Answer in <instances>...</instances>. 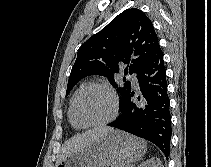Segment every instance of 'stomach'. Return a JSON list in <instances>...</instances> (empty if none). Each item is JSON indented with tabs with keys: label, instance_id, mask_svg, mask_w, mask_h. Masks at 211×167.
<instances>
[{
	"label": "stomach",
	"instance_id": "1",
	"mask_svg": "<svg viewBox=\"0 0 211 167\" xmlns=\"http://www.w3.org/2000/svg\"><path fill=\"white\" fill-rule=\"evenodd\" d=\"M146 152V142L120 130H112L86 149L74 153L56 167H127Z\"/></svg>",
	"mask_w": 211,
	"mask_h": 167
}]
</instances>
